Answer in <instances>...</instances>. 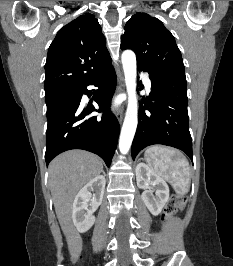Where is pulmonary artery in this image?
Returning a JSON list of instances; mask_svg holds the SVG:
<instances>
[{
    "label": "pulmonary artery",
    "mask_w": 233,
    "mask_h": 266,
    "mask_svg": "<svg viewBox=\"0 0 233 266\" xmlns=\"http://www.w3.org/2000/svg\"><path fill=\"white\" fill-rule=\"evenodd\" d=\"M141 77H142V79H143V81H144V84H145L146 88H147V89H150V87H151V82H150L148 76L145 75V74H142Z\"/></svg>",
    "instance_id": "obj_1"
}]
</instances>
